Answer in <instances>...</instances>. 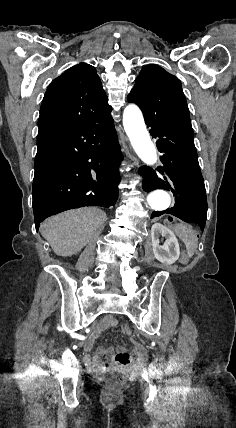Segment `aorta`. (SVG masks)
Instances as JSON below:
<instances>
[{"instance_id":"aorta-1","label":"aorta","mask_w":236,"mask_h":428,"mask_svg":"<svg viewBox=\"0 0 236 428\" xmlns=\"http://www.w3.org/2000/svg\"><path fill=\"white\" fill-rule=\"evenodd\" d=\"M123 126L138 157L147 165L157 162V153L146 129L141 110L134 104L128 105L123 113ZM148 205L156 212L166 210L171 197L164 190H156L147 196Z\"/></svg>"}]
</instances>
